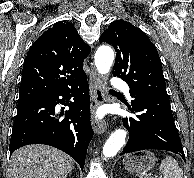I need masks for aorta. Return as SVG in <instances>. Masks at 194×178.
I'll list each match as a JSON object with an SVG mask.
<instances>
[{
  "label": "aorta",
  "mask_w": 194,
  "mask_h": 178,
  "mask_svg": "<svg viewBox=\"0 0 194 178\" xmlns=\"http://www.w3.org/2000/svg\"><path fill=\"white\" fill-rule=\"evenodd\" d=\"M114 60V51L110 46L102 45L95 53V65L101 75L109 73ZM127 132L124 129L115 130L103 146V155L107 158L115 156L124 146Z\"/></svg>",
  "instance_id": "762f6f07"
}]
</instances>
